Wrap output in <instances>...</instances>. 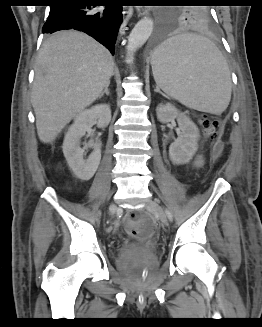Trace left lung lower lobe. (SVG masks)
Here are the masks:
<instances>
[{"instance_id":"0a47b994","label":"left lung lower lobe","mask_w":262,"mask_h":327,"mask_svg":"<svg viewBox=\"0 0 262 327\" xmlns=\"http://www.w3.org/2000/svg\"><path fill=\"white\" fill-rule=\"evenodd\" d=\"M163 39L162 31H158L151 40V49H157L161 45Z\"/></svg>"}]
</instances>
